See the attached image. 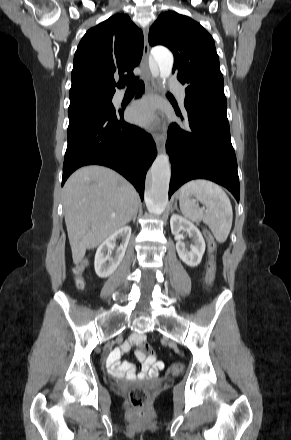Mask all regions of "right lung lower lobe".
Instances as JSON below:
<instances>
[{
	"instance_id": "1",
	"label": "right lung lower lobe",
	"mask_w": 291,
	"mask_h": 440,
	"mask_svg": "<svg viewBox=\"0 0 291 440\" xmlns=\"http://www.w3.org/2000/svg\"><path fill=\"white\" fill-rule=\"evenodd\" d=\"M143 89L140 82L138 96ZM68 116L62 186L77 168L99 164L122 174L143 200L146 173L157 154L152 137L126 123L121 110L80 103L69 106Z\"/></svg>"
}]
</instances>
